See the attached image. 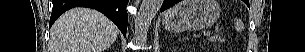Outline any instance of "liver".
Listing matches in <instances>:
<instances>
[{
  "label": "liver",
  "mask_w": 305,
  "mask_h": 52,
  "mask_svg": "<svg viewBox=\"0 0 305 52\" xmlns=\"http://www.w3.org/2000/svg\"><path fill=\"white\" fill-rule=\"evenodd\" d=\"M118 29L102 13L73 8L51 28L50 52H103L114 43Z\"/></svg>",
  "instance_id": "6515ba94"
}]
</instances>
